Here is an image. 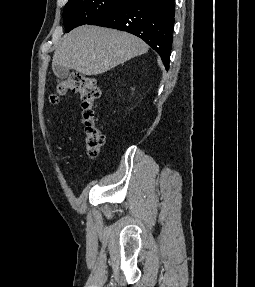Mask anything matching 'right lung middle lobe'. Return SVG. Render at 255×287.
Returning <instances> with one entry per match:
<instances>
[{
    "instance_id": "dd1d6c3e",
    "label": "right lung middle lobe",
    "mask_w": 255,
    "mask_h": 287,
    "mask_svg": "<svg viewBox=\"0 0 255 287\" xmlns=\"http://www.w3.org/2000/svg\"><path fill=\"white\" fill-rule=\"evenodd\" d=\"M127 0H69L63 10L66 32L89 24L105 12L123 4Z\"/></svg>"
}]
</instances>
